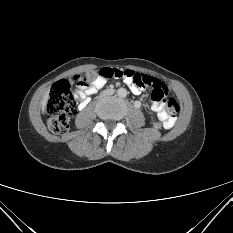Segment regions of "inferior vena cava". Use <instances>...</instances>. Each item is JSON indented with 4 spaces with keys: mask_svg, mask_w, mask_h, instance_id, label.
Here are the masks:
<instances>
[{
    "mask_svg": "<svg viewBox=\"0 0 233 233\" xmlns=\"http://www.w3.org/2000/svg\"><path fill=\"white\" fill-rule=\"evenodd\" d=\"M113 89L112 88H107V89H105V90H101L100 91V96L101 97H108V96H112L113 95Z\"/></svg>",
    "mask_w": 233,
    "mask_h": 233,
    "instance_id": "602c4592",
    "label": "inferior vena cava"
}]
</instances>
